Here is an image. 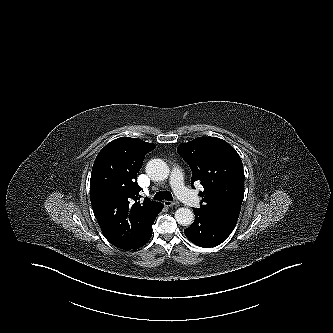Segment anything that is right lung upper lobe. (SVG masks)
I'll return each mask as SVG.
<instances>
[{
    "label": "right lung upper lobe",
    "mask_w": 333,
    "mask_h": 333,
    "mask_svg": "<svg viewBox=\"0 0 333 333\" xmlns=\"http://www.w3.org/2000/svg\"><path fill=\"white\" fill-rule=\"evenodd\" d=\"M156 146L138 138L121 137L97 155L91 173L90 196L94 215L106 239L117 248L134 249L162 210L160 202L144 198L137 173L144 156Z\"/></svg>",
    "instance_id": "obj_1"
}]
</instances>
